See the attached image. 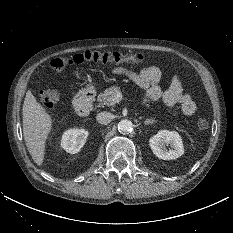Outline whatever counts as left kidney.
Listing matches in <instances>:
<instances>
[{"mask_svg": "<svg viewBox=\"0 0 233 233\" xmlns=\"http://www.w3.org/2000/svg\"><path fill=\"white\" fill-rule=\"evenodd\" d=\"M153 153L160 159H176L184 154L183 142L175 131L161 130L149 140ZM166 146L171 149L167 150Z\"/></svg>", "mask_w": 233, "mask_h": 233, "instance_id": "1", "label": "left kidney"}]
</instances>
